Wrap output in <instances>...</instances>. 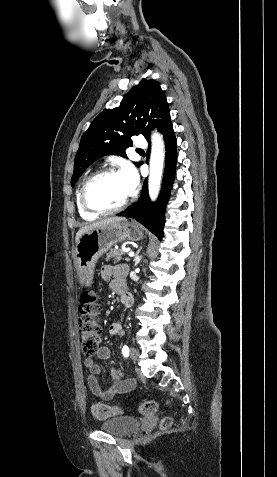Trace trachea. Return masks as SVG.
<instances>
[{
    "mask_svg": "<svg viewBox=\"0 0 277 477\" xmlns=\"http://www.w3.org/2000/svg\"><path fill=\"white\" fill-rule=\"evenodd\" d=\"M137 152H143V150L138 149Z\"/></svg>",
    "mask_w": 277,
    "mask_h": 477,
    "instance_id": "obj_1",
    "label": "trachea"
}]
</instances>
